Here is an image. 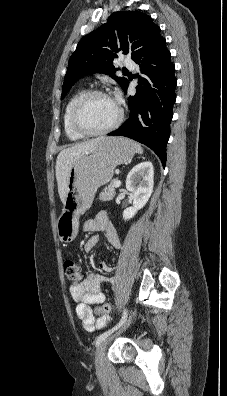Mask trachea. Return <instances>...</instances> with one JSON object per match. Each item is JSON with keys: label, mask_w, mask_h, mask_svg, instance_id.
I'll use <instances>...</instances> for the list:
<instances>
[{"label": "trachea", "mask_w": 227, "mask_h": 396, "mask_svg": "<svg viewBox=\"0 0 227 396\" xmlns=\"http://www.w3.org/2000/svg\"><path fill=\"white\" fill-rule=\"evenodd\" d=\"M123 71H127V69H123Z\"/></svg>", "instance_id": "trachea-1"}]
</instances>
